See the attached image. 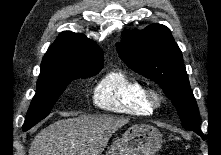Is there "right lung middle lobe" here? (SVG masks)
<instances>
[{"mask_svg":"<svg viewBox=\"0 0 221 155\" xmlns=\"http://www.w3.org/2000/svg\"><path fill=\"white\" fill-rule=\"evenodd\" d=\"M102 67L103 65L61 71L41 70L37 82V92L28 109L23 131H27L49 115L53 105L72 80L91 77L99 72Z\"/></svg>","mask_w":221,"mask_h":155,"instance_id":"obj_1","label":"right lung middle lobe"}]
</instances>
